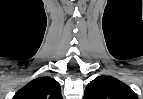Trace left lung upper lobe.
Masks as SVG:
<instances>
[{
    "mask_svg": "<svg viewBox=\"0 0 143 99\" xmlns=\"http://www.w3.org/2000/svg\"><path fill=\"white\" fill-rule=\"evenodd\" d=\"M84 99H138L136 93L112 76H99L85 88Z\"/></svg>",
    "mask_w": 143,
    "mask_h": 99,
    "instance_id": "left-lung-upper-lobe-1",
    "label": "left lung upper lobe"
}]
</instances>
